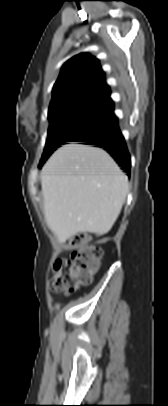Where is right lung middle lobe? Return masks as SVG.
I'll return each instance as SVG.
<instances>
[{
  "instance_id": "right-lung-middle-lobe-1",
  "label": "right lung middle lobe",
  "mask_w": 168,
  "mask_h": 406,
  "mask_svg": "<svg viewBox=\"0 0 168 406\" xmlns=\"http://www.w3.org/2000/svg\"><path fill=\"white\" fill-rule=\"evenodd\" d=\"M50 125L39 167L61 145L77 141L115 119L112 106L78 105L48 114Z\"/></svg>"
}]
</instances>
